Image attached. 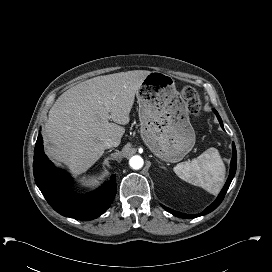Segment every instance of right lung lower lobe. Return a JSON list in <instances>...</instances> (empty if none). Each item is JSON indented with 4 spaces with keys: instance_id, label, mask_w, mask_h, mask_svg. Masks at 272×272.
Segmentation results:
<instances>
[{
    "instance_id": "right-lung-lower-lobe-1",
    "label": "right lung lower lobe",
    "mask_w": 272,
    "mask_h": 272,
    "mask_svg": "<svg viewBox=\"0 0 272 272\" xmlns=\"http://www.w3.org/2000/svg\"><path fill=\"white\" fill-rule=\"evenodd\" d=\"M35 182L52 208L63 216L79 220H92L103 214L116 195V176L96 191L77 194L71 190L72 178L57 169L43 151V140L39 134L34 151Z\"/></svg>"
}]
</instances>
